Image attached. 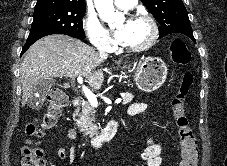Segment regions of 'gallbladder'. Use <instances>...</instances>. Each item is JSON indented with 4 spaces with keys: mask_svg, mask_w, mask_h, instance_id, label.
<instances>
[{
    "mask_svg": "<svg viewBox=\"0 0 227 166\" xmlns=\"http://www.w3.org/2000/svg\"><path fill=\"white\" fill-rule=\"evenodd\" d=\"M55 85V80L52 78L40 79L36 82L32 96L29 100V106L36 108V103L41 106L46 99L47 94L50 91V88Z\"/></svg>",
    "mask_w": 227,
    "mask_h": 166,
    "instance_id": "bac80fb5",
    "label": "gallbladder"
}]
</instances>
